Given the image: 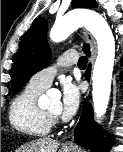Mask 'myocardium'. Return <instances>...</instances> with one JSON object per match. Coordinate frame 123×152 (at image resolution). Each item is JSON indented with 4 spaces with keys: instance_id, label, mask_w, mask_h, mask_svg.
Segmentation results:
<instances>
[{
    "instance_id": "1",
    "label": "myocardium",
    "mask_w": 123,
    "mask_h": 152,
    "mask_svg": "<svg viewBox=\"0 0 123 152\" xmlns=\"http://www.w3.org/2000/svg\"><path fill=\"white\" fill-rule=\"evenodd\" d=\"M47 118L49 119L51 125H55V124H58L59 123V116L58 114H53L47 110L44 111Z\"/></svg>"
}]
</instances>
